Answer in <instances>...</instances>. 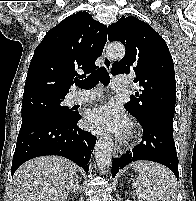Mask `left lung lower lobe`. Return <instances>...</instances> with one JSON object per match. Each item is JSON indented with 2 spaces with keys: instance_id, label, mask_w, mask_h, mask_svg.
<instances>
[{
  "instance_id": "left-lung-lower-lobe-1",
  "label": "left lung lower lobe",
  "mask_w": 196,
  "mask_h": 201,
  "mask_svg": "<svg viewBox=\"0 0 196 201\" xmlns=\"http://www.w3.org/2000/svg\"><path fill=\"white\" fill-rule=\"evenodd\" d=\"M140 124L143 127L142 142L121 158L113 159L112 176L115 177L119 169L133 161L150 160L167 166L178 177L173 118L152 116Z\"/></svg>"
}]
</instances>
